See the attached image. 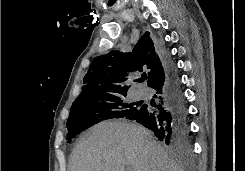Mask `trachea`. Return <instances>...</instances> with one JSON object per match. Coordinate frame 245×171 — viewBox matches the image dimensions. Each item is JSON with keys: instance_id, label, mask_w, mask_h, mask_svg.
<instances>
[{"instance_id": "trachea-1", "label": "trachea", "mask_w": 245, "mask_h": 171, "mask_svg": "<svg viewBox=\"0 0 245 171\" xmlns=\"http://www.w3.org/2000/svg\"><path fill=\"white\" fill-rule=\"evenodd\" d=\"M147 79V76L146 75H143L142 78H140V81H144Z\"/></svg>"}]
</instances>
